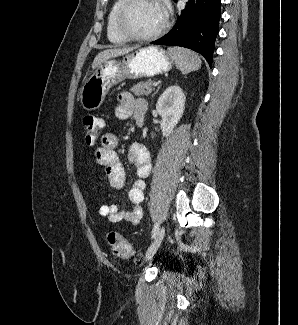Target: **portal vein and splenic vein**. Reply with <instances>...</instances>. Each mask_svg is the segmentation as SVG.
I'll return each instance as SVG.
<instances>
[{
	"mask_svg": "<svg viewBox=\"0 0 298 325\" xmlns=\"http://www.w3.org/2000/svg\"><path fill=\"white\" fill-rule=\"evenodd\" d=\"M159 82H153V86H158Z\"/></svg>",
	"mask_w": 298,
	"mask_h": 325,
	"instance_id": "obj_1",
	"label": "portal vein and splenic vein"
}]
</instances>
